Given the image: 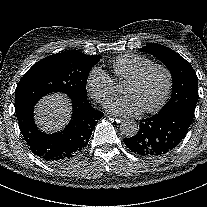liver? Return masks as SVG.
Instances as JSON below:
<instances>
[{
	"label": "liver",
	"instance_id": "obj_1",
	"mask_svg": "<svg viewBox=\"0 0 207 207\" xmlns=\"http://www.w3.org/2000/svg\"><path fill=\"white\" fill-rule=\"evenodd\" d=\"M36 121L45 131H56L68 123L70 104L65 96L53 95L42 100L36 111Z\"/></svg>",
	"mask_w": 207,
	"mask_h": 207
}]
</instances>
